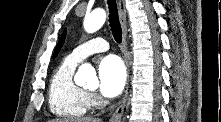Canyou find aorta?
I'll return each instance as SVG.
<instances>
[{
  "instance_id": "1",
  "label": "aorta",
  "mask_w": 221,
  "mask_h": 122,
  "mask_svg": "<svg viewBox=\"0 0 221 122\" xmlns=\"http://www.w3.org/2000/svg\"><path fill=\"white\" fill-rule=\"evenodd\" d=\"M106 20V13L103 9H95L84 19V29L88 33L99 30ZM76 83L91 86L98 81L96 72L91 64H82L75 77Z\"/></svg>"
}]
</instances>
